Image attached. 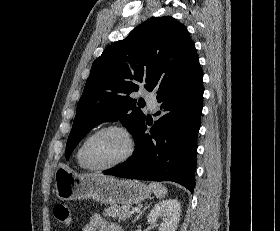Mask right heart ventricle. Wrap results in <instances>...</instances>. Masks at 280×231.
Returning <instances> with one entry per match:
<instances>
[{"label":"right heart ventricle","instance_id":"obj_1","mask_svg":"<svg viewBox=\"0 0 280 231\" xmlns=\"http://www.w3.org/2000/svg\"><path fill=\"white\" fill-rule=\"evenodd\" d=\"M84 140H85V139H84ZM84 140H82V141L80 142V144H79V145L77 146V148H76V151H75V161H76L77 166H78L80 169H82V170H88L86 167H84V166L82 165V163H81V161H80V159H79L80 148H81L82 143H83Z\"/></svg>","mask_w":280,"mask_h":231}]
</instances>
